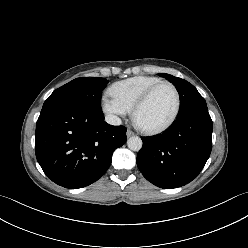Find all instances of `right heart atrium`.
Instances as JSON below:
<instances>
[{
  "label": "right heart atrium",
  "instance_id": "obj_1",
  "mask_svg": "<svg viewBox=\"0 0 248 248\" xmlns=\"http://www.w3.org/2000/svg\"><path fill=\"white\" fill-rule=\"evenodd\" d=\"M103 111L112 119L117 120L129 113V109L110 94H104L102 97Z\"/></svg>",
  "mask_w": 248,
  "mask_h": 248
}]
</instances>
